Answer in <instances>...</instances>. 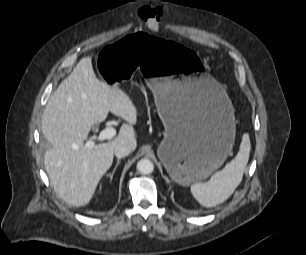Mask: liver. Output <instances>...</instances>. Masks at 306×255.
<instances>
[{
  "instance_id": "liver-1",
  "label": "liver",
  "mask_w": 306,
  "mask_h": 255,
  "mask_svg": "<svg viewBox=\"0 0 306 255\" xmlns=\"http://www.w3.org/2000/svg\"><path fill=\"white\" fill-rule=\"evenodd\" d=\"M109 112L128 124L113 140L86 147L91 127ZM136 123L131 98L119 86H108L96 77L91 57L82 58L51 96L42 116V133L52 146L45 152L44 165L56 194L70 205H87L112 166L114 148L125 142L135 150Z\"/></svg>"
}]
</instances>
